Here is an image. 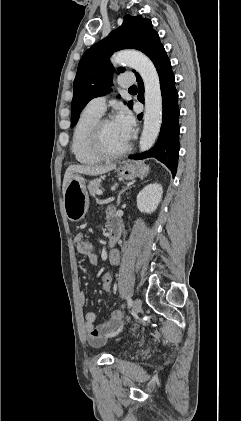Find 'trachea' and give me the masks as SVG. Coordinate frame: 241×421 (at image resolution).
I'll use <instances>...</instances> for the list:
<instances>
[{
  "label": "trachea",
  "instance_id": "trachea-1",
  "mask_svg": "<svg viewBox=\"0 0 241 421\" xmlns=\"http://www.w3.org/2000/svg\"><path fill=\"white\" fill-rule=\"evenodd\" d=\"M129 90H130V91L137 90V87H136L135 85H133V86H131V87L129 88Z\"/></svg>",
  "mask_w": 241,
  "mask_h": 421
}]
</instances>
